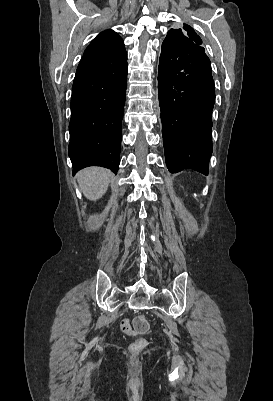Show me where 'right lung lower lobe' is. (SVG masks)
I'll return each mask as SVG.
<instances>
[{
  "label": "right lung lower lobe",
  "mask_w": 273,
  "mask_h": 401,
  "mask_svg": "<svg viewBox=\"0 0 273 401\" xmlns=\"http://www.w3.org/2000/svg\"><path fill=\"white\" fill-rule=\"evenodd\" d=\"M127 70L125 58L98 74L74 81L69 124L73 174L87 166L118 171Z\"/></svg>",
  "instance_id": "right-lung-lower-lobe-1"
}]
</instances>
